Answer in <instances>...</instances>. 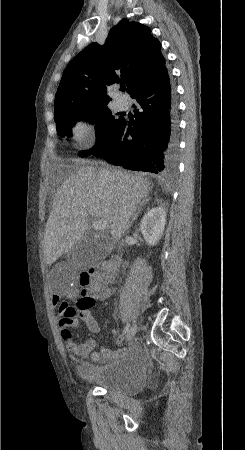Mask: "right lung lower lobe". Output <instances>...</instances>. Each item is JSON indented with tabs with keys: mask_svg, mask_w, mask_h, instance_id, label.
Listing matches in <instances>:
<instances>
[{
	"mask_svg": "<svg viewBox=\"0 0 245 450\" xmlns=\"http://www.w3.org/2000/svg\"><path fill=\"white\" fill-rule=\"evenodd\" d=\"M133 122L123 118L106 148L94 154L124 168L169 175L178 161L176 104L164 67L132 95Z\"/></svg>",
	"mask_w": 245,
	"mask_h": 450,
	"instance_id": "obj_1",
	"label": "right lung lower lobe"
}]
</instances>
